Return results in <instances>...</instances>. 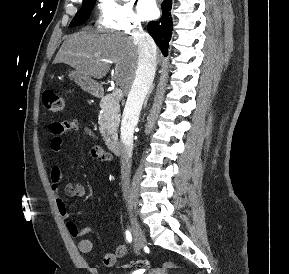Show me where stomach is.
<instances>
[{
	"label": "stomach",
	"instance_id": "obj_1",
	"mask_svg": "<svg viewBox=\"0 0 289 274\" xmlns=\"http://www.w3.org/2000/svg\"><path fill=\"white\" fill-rule=\"evenodd\" d=\"M68 76L72 79L81 89L90 94H97L99 91V85L91 77L84 75L77 70L68 71Z\"/></svg>",
	"mask_w": 289,
	"mask_h": 274
}]
</instances>
